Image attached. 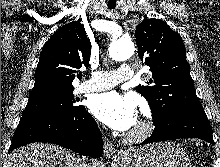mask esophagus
I'll return each instance as SVG.
<instances>
[{"label":"esophagus","mask_w":220,"mask_h":167,"mask_svg":"<svg viewBox=\"0 0 220 167\" xmlns=\"http://www.w3.org/2000/svg\"><path fill=\"white\" fill-rule=\"evenodd\" d=\"M103 149H104V156H106L107 158H111V159L117 158L118 155L116 153L115 147L108 138L104 140Z\"/></svg>","instance_id":"obj_1"}]
</instances>
